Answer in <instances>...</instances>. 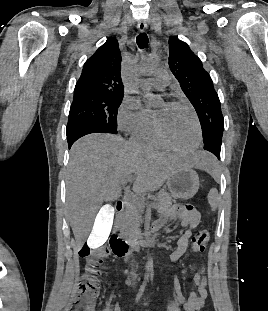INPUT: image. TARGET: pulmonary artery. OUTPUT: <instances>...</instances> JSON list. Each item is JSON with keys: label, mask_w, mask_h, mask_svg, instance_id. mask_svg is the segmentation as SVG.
Returning <instances> with one entry per match:
<instances>
[{"label": "pulmonary artery", "mask_w": 268, "mask_h": 311, "mask_svg": "<svg viewBox=\"0 0 268 311\" xmlns=\"http://www.w3.org/2000/svg\"><path fill=\"white\" fill-rule=\"evenodd\" d=\"M170 76L165 71L157 70L153 73L152 77L146 80V83L153 88H164L168 85Z\"/></svg>", "instance_id": "e3ab8cb5"}]
</instances>
